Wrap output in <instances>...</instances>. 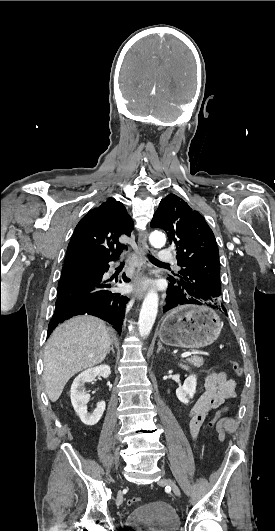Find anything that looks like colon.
Instances as JSON below:
<instances>
[{
	"label": "colon",
	"instance_id": "5ec220e1",
	"mask_svg": "<svg viewBox=\"0 0 275 531\" xmlns=\"http://www.w3.org/2000/svg\"><path fill=\"white\" fill-rule=\"evenodd\" d=\"M232 368H233L234 372L239 374V375H241L242 372H243V368L239 364V362H236V361L233 362L232 363ZM221 418H222V415L219 412L214 413V415L209 418V420H208L209 432H212V430L216 429V427H217V425L219 423V420H221ZM139 501H140V497L134 496V497H132L131 499L128 500V504L129 505H134V504L138 503Z\"/></svg>",
	"mask_w": 275,
	"mask_h": 531
}]
</instances>
